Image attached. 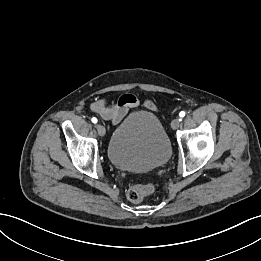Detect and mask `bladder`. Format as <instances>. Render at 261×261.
Masks as SVG:
<instances>
[{"label": "bladder", "instance_id": "bladder-1", "mask_svg": "<svg viewBox=\"0 0 261 261\" xmlns=\"http://www.w3.org/2000/svg\"><path fill=\"white\" fill-rule=\"evenodd\" d=\"M172 152L160 119L147 111L128 115L113 131L108 143L110 162L126 171H148L164 165Z\"/></svg>", "mask_w": 261, "mask_h": 261}]
</instances>
